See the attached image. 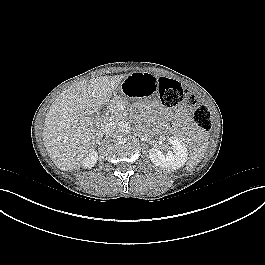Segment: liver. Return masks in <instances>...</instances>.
Returning <instances> with one entry per match:
<instances>
[{
  "label": "liver",
  "instance_id": "1",
  "mask_svg": "<svg viewBox=\"0 0 265 265\" xmlns=\"http://www.w3.org/2000/svg\"><path fill=\"white\" fill-rule=\"evenodd\" d=\"M125 75L100 76L80 81L64 90L46 114L43 141L54 164L62 171L82 166L95 148V128L90 117L109 102Z\"/></svg>",
  "mask_w": 265,
  "mask_h": 265
}]
</instances>
